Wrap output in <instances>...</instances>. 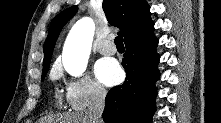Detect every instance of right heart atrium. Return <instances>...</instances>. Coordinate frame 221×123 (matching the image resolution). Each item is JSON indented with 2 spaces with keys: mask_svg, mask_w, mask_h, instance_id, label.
<instances>
[{
  "mask_svg": "<svg viewBox=\"0 0 221 123\" xmlns=\"http://www.w3.org/2000/svg\"><path fill=\"white\" fill-rule=\"evenodd\" d=\"M54 77L61 78L62 72L59 69L55 70ZM105 98L106 91L87 75L65 81V99L74 111L100 104Z\"/></svg>",
  "mask_w": 221,
  "mask_h": 123,
  "instance_id": "obj_1",
  "label": "right heart atrium"
}]
</instances>
